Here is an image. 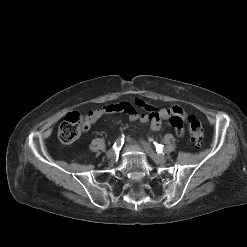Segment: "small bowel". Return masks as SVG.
<instances>
[{"label":"small bowel","instance_id":"small-bowel-1","mask_svg":"<svg viewBox=\"0 0 247 247\" xmlns=\"http://www.w3.org/2000/svg\"><path fill=\"white\" fill-rule=\"evenodd\" d=\"M136 107L146 109L149 113L141 114L137 111ZM115 113H125L132 121L138 120L142 123H148L153 130H159L164 120H170L176 133L179 136L184 134L183 122L186 118V114L181 107L173 106L155 111L152 106L141 99H136L134 104L124 101L109 104L102 108L90 111L85 116V129H89L92 124L100 120L102 117Z\"/></svg>","mask_w":247,"mask_h":247}]
</instances>
